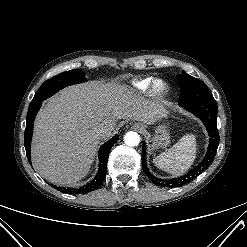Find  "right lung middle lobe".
Wrapping results in <instances>:
<instances>
[{"mask_svg": "<svg viewBox=\"0 0 247 247\" xmlns=\"http://www.w3.org/2000/svg\"><path fill=\"white\" fill-rule=\"evenodd\" d=\"M86 78L84 73L80 70H70L62 72L51 79L45 81L34 95L30 105L42 103L43 100L49 98L62 88L85 82Z\"/></svg>", "mask_w": 247, "mask_h": 247, "instance_id": "1", "label": "right lung middle lobe"}]
</instances>
